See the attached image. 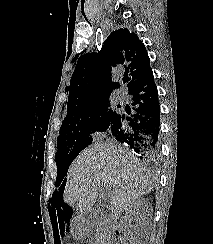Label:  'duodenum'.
<instances>
[{
	"instance_id": "obj_1",
	"label": "duodenum",
	"mask_w": 213,
	"mask_h": 244,
	"mask_svg": "<svg viewBox=\"0 0 213 244\" xmlns=\"http://www.w3.org/2000/svg\"><path fill=\"white\" fill-rule=\"evenodd\" d=\"M95 216H97V213L94 212L91 215H87L85 219H86V221L88 223H90L92 221V218L95 217ZM114 232H115V234L112 235V236H110L108 238V240L106 241L105 244H113L115 242V240L117 238V235L116 234H118V227H117V225H114Z\"/></svg>"
}]
</instances>
